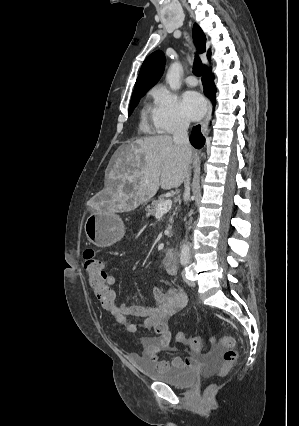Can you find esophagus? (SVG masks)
<instances>
[{
	"label": "esophagus",
	"mask_w": 299,
	"mask_h": 426,
	"mask_svg": "<svg viewBox=\"0 0 299 426\" xmlns=\"http://www.w3.org/2000/svg\"><path fill=\"white\" fill-rule=\"evenodd\" d=\"M211 113H212V104H211V102L208 100V110H207L206 117H205V119H204V120H203V122H202V125H203V126H205V125L209 122V120H210V118H211Z\"/></svg>",
	"instance_id": "esophagus-1"
}]
</instances>
